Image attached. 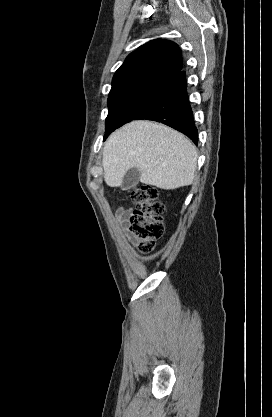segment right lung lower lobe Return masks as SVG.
<instances>
[{
	"instance_id": "1",
	"label": "right lung lower lobe",
	"mask_w": 272,
	"mask_h": 417,
	"mask_svg": "<svg viewBox=\"0 0 272 417\" xmlns=\"http://www.w3.org/2000/svg\"><path fill=\"white\" fill-rule=\"evenodd\" d=\"M138 119L164 123L197 144L198 132L186 92L184 71L177 73L162 87L150 104L134 118Z\"/></svg>"
}]
</instances>
